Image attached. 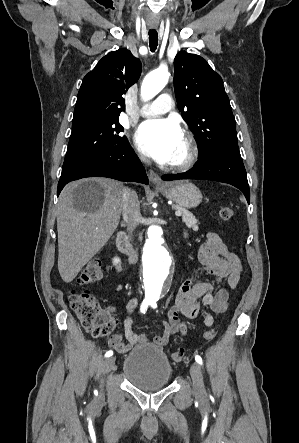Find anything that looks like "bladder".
<instances>
[{
  "mask_svg": "<svg viewBox=\"0 0 299 443\" xmlns=\"http://www.w3.org/2000/svg\"><path fill=\"white\" fill-rule=\"evenodd\" d=\"M123 375L141 390H158L168 385L172 366L161 348L145 345L135 347L127 354L123 362Z\"/></svg>",
  "mask_w": 299,
  "mask_h": 443,
  "instance_id": "bladder-1",
  "label": "bladder"
}]
</instances>
